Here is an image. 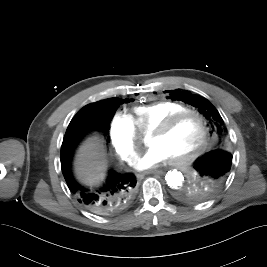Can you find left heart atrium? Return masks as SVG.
I'll return each mask as SVG.
<instances>
[{
  "mask_svg": "<svg viewBox=\"0 0 267 267\" xmlns=\"http://www.w3.org/2000/svg\"><path fill=\"white\" fill-rule=\"evenodd\" d=\"M169 159L168 154L159 146H151L137 161L138 169H150Z\"/></svg>",
  "mask_w": 267,
  "mask_h": 267,
  "instance_id": "left-heart-atrium-1",
  "label": "left heart atrium"
}]
</instances>
